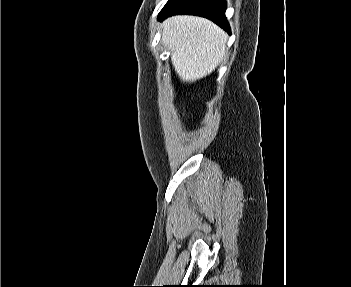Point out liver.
I'll use <instances>...</instances> for the list:
<instances>
[{"label":"liver","mask_w":351,"mask_h":287,"mask_svg":"<svg viewBox=\"0 0 351 287\" xmlns=\"http://www.w3.org/2000/svg\"><path fill=\"white\" fill-rule=\"evenodd\" d=\"M162 42L171 51V62L183 82H194L215 70L225 55L228 35L213 22L177 15L161 24Z\"/></svg>","instance_id":"6515ba94"}]
</instances>
